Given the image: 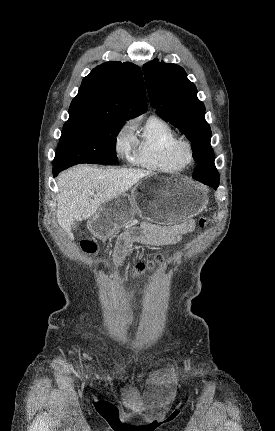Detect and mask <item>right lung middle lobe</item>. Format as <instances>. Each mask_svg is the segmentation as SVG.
Listing matches in <instances>:
<instances>
[{"mask_svg": "<svg viewBox=\"0 0 275 431\" xmlns=\"http://www.w3.org/2000/svg\"><path fill=\"white\" fill-rule=\"evenodd\" d=\"M124 123L125 120L113 116L69 117L62 129L53 168L117 163L116 136Z\"/></svg>", "mask_w": 275, "mask_h": 431, "instance_id": "dd1d6c3e", "label": "right lung middle lobe"}]
</instances>
